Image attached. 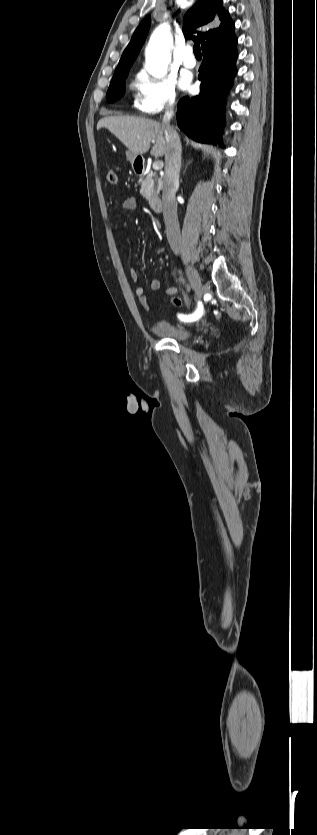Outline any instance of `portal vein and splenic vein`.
<instances>
[{
    "mask_svg": "<svg viewBox=\"0 0 317 835\" xmlns=\"http://www.w3.org/2000/svg\"><path fill=\"white\" fill-rule=\"evenodd\" d=\"M152 167H153V169H154V170H159V169H161V168L163 167V161H161V160H157V161H155V162L153 163Z\"/></svg>",
    "mask_w": 317,
    "mask_h": 835,
    "instance_id": "portal-vein-and-splenic-vein-1",
    "label": "portal vein and splenic vein"
}]
</instances>
